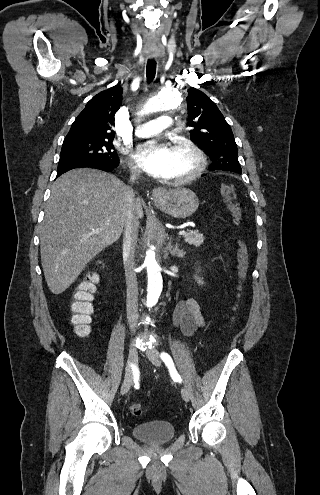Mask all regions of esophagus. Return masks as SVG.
<instances>
[{"mask_svg":"<svg viewBox=\"0 0 320 495\" xmlns=\"http://www.w3.org/2000/svg\"><path fill=\"white\" fill-rule=\"evenodd\" d=\"M166 194L167 191L164 188L158 187L153 189L152 198L154 201H160L165 197Z\"/></svg>","mask_w":320,"mask_h":495,"instance_id":"1","label":"esophagus"}]
</instances>
